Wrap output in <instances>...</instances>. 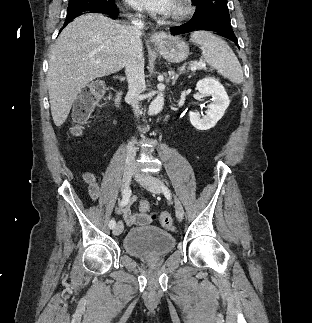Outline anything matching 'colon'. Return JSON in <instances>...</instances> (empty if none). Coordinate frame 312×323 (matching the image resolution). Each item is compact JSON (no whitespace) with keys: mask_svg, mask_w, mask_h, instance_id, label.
I'll return each instance as SVG.
<instances>
[{"mask_svg":"<svg viewBox=\"0 0 312 323\" xmlns=\"http://www.w3.org/2000/svg\"><path fill=\"white\" fill-rule=\"evenodd\" d=\"M83 95L85 98L90 99L91 102L88 106L91 107L95 103L96 100H98L104 96V91L102 90V88L99 84H96L94 88L86 90L83 93ZM87 113H88V111H86V114ZM80 119H81L80 123L84 122L83 118H80ZM139 210L141 212H148L150 210L149 202L146 200H141L139 203ZM154 216L155 215H153V217ZM160 216H161L160 220L162 221L160 223L161 226L168 231H173L175 229L173 219L165 213L160 214Z\"/></svg>","mask_w":312,"mask_h":323,"instance_id":"obj_1","label":"colon"}]
</instances>
